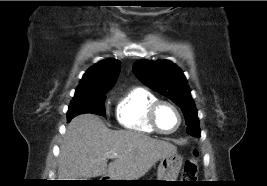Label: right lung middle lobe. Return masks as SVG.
Masks as SVG:
<instances>
[{"instance_id": "dd1d6c3e", "label": "right lung middle lobe", "mask_w": 267, "mask_h": 186, "mask_svg": "<svg viewBox=\"0 0 267 186\" xmlns=\"http://www.w3.org/2000/svg\"><path fill=\"white\" fill-rule=\"evenodd\" d=\"M109 89L87 90L75 92L73 100L67 112L68 122L76 115L92 113L101 116L105 115L104 102Z\"/></svg>"}]
</instances>
